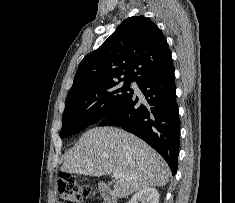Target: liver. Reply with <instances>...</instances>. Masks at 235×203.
Returning a JSON list of instances; mask_svg holds the SVG:
<instances>
[{
    "mask_svg": "<svg viewBox=\"0 0 235 203\" xmlns=\"http://www.w3.org/2000/svg\"><path fill=\"white\" fill-rule=\"evenodd\" d=\"M61 171L103 176L120 172L114 193L124 198L145 187L164 186L170 169L164 159L133 134L113 127L85 132L65 155Z\"/></svg>",
    "mask_w": 235,
    "mask_h": 203,
    "instance_id": "1",
    "label": "liver"
}]
</instances>
